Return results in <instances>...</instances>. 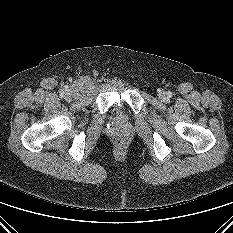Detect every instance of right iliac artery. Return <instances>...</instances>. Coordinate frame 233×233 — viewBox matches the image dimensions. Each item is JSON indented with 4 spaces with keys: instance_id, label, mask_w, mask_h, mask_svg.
<instances>
[{
    "instance_id": "82829eb1",
    "label": "right iliac artery",
    "mask_w": 233,
    "mask_h": 233,
    "mask_svg": "<svg viewBox=\"0 0 233 233\" xmlns=\"http://www.w3.org/2000/svg\"><path fill=\"white\" fill-rule=\"evenodd\" d=\"M63 94H64V93L62 92L60 95L63 96Z\"/></svg>"
}]
</instances>
